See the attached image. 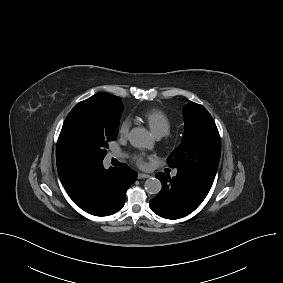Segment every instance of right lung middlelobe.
Masks as SVG:
<instances>
[{
  "label": "right lung middle lobe",
  "instance_id": "1",
  "mask_svg": "<svg viewBox=\"0 0 283 283\" xmlns=\"http://www.w3.org/2000/svg\"><path fill=\"white\" fill-rule=\"evenodd\" d=\"M122 98L98 93L78 103L66 117L56 147L58 170L102 162L118 135Z\"/></svg>",
  "mask_w": 283,
  "mask_h": 283
}]
</instances>
